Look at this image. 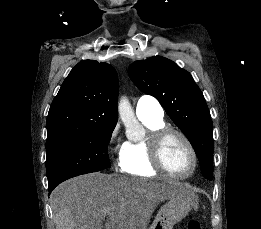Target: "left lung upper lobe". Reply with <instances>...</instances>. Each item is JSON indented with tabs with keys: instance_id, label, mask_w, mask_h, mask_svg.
<instances>
[{
	"instance_id": "left-lung-upper-lobe-1",
	"label": "left lung upper lobe",
	"mask_w": 261,
	"mask_h": 229,
	"mask_svg": "<svg viewBox=\"0 0 261 229\" xmlns=\"http://www.w3.org/2000/svg\"><path fill=\"white\" fill-rule=\"evenodd\" d=\"M129 76L144 93L154 96L190 141L202 175L212 179L213 124L204 96L186 70L162 56L135 61Z\"/></svg>"
}]
</instances>
